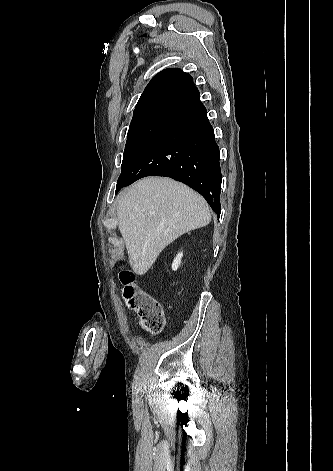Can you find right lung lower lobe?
Segmentation results:
<instances>
[{
    "label": "right lung lower lobe",
    "mask_w": 333,
    "mask_h": 471,
    "mask_svg": "<svg viewBox=\"0 0 333 471\" xmlns=\"http://www.w3.org/2000/svg\"><path fill=\"white\" fill-rule=\"evenodd\" d=\"M146 176H166L199 192L220 216L219 147L199 102L162 131L118 178L116 193Z\"/></svg>",
    "instance_id": "98d812e1"
}]
</instances>
